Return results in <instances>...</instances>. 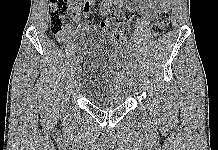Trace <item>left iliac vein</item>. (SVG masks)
Wrapping results in <instances>:
<instances>
[{"label": "left iliac vein", "instance_id": "obj_1", "mask_svg": "<svg viewBox=\"0 0 218 150\" xmlns=\"http://www.w3.org/2000/svg\"><path fill=\"white\" fill-rule=\"evenodd\" d=\"M138 75L135 73L132 77H131V80L136 84L138 81V77H137Z\"/></svg>", "mask_w": 218, "mask_h": 150}]
</instances>
